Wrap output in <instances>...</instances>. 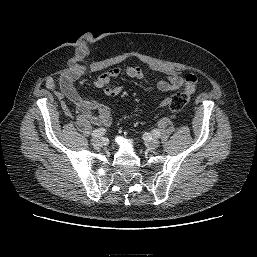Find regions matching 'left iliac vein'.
Here are the masks:
<instances>
[{
  "mask_svg": "<svg viewBox=\"0 0 257 257\" xmlns=\"http://www.w3.org/2000/svg\"><path fill=\"white\" fill-rule=\"evenodd\" d=\"M146 138L148 148L154 150L159 146V141L156 138H151L149 136H147Z\"/></svg>",
  "mask_w": 257,
  "mask_h": 257,
  "instance_id": "obj_1",
  "label": "left iliac vein"
}]
</instances>
